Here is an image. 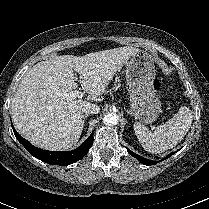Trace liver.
<instances>
[{
    "mask_svg": "<svg viewBox=\"0 0 209 209\" xmlns=\"http://www.w3.org/2000/svg\"><path fill=\"white\" fill-rule=\"evenodd\" d=\"M139 51L125 46L81 57L56 56L35 64L21 79L11 101L12 120L20 135L46 150L72 149L83 130V106L100 101L114 74ZM74 71L89 94L86 99L60 95L77 87Z\"/></svg>",
    "mask_w": 209,
    "mask_h": 209,
    "instance_id": "liver-1",
    "label": "liver"
}]
</instances>
